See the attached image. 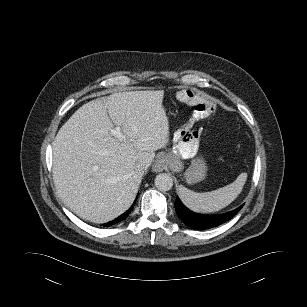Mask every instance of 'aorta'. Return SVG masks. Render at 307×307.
I'll use <instances>...</instances> for the list:
<instances>
[{
  "mask_svg": "<svg viewBox=\"0 0 307 307\" xmlns=\"http://www.w3.org/2000/svg\"><path fill=\"white\" fill-rule=\"evenodd\" d=\"M155 186L160 191H169L173 186V179L166 173L158 174L155 178Z\"/></svg>",
  "mask_w": 307,
  "mask_h": 307,
  "instance_id": "762f6f07",
  "label": "aorta"
}]
</instances>
